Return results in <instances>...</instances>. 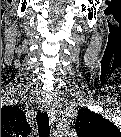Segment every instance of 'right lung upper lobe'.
Returning <instances> with one entry per match:
<instances>
[{
	"label": "right lung upper lobe",
	"instance_id": "cb5924a9",
	"mask_svg": "<svg viewBox=\"0 0 121 137\" xmlns=\"http://www.w3.org/2000/svg\"><path fill=\"white\" fill-rule=\"evenodd\" d=\"M29 126L21 109L16 106H7L1 109V135H26Z\"/></svg>",
	"mask_w": 121,
	"mask_h": 137
}]
</instances>
